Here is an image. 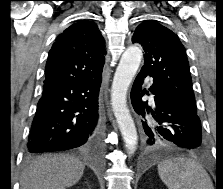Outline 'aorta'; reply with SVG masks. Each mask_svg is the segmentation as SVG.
<instances>
[{
  "label": "aorta",
  "mask_w": 223,
  "mask_h": 189,
  "mask_svg": "<svg viewBox=\"0 0 223 189\" xmlns=\"http://www.w3.org/2000/svg\"><path fill=\"white\" fill-rule=\"evenodd\" d=\"M143 53L138 46H129L122 54L111 87V105L130 155L137 149L138 134L127 107V91L134 78Z\"/></svg>",
  "instance_id": "1"
}]
</instances>
